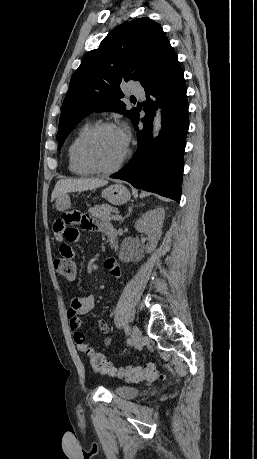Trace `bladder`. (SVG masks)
<instances>
[{
	"instance_id": "1",
	"label": "bladder",
	"mask_w": 257,
	"mask_h": 459,
	"mask_svg": "<svg viewBox=\"0 0 257 459\" xmlns=\"http://www.w3.org/2000/svg\"><path fill=\"white\" fill-rule=\"evenodd\" d=\"M114 393L123 398H134L139 395L140 390L135 386H118L115 388Z\"/></svg>"
}]
</instances>
